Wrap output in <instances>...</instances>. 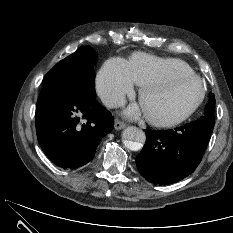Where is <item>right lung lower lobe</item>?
I'll use <instances>...</instances> for the list:
<instances>
[{
    "mask_svg": "<svg viewBox=\"0 0 233 233\" xmlns=\"http://www.w3.org/2000/svg\"><path fill=\"white\" fill-rule=\"evenodd\" d=\"M95 91L46 84L36 106L39 144L56 165L78 168L95 155L99 141L111 132L113 117L95 100Z\"/></svg>",
    "mask_w": 233,
    "mask_h": 233,
    "instance_id": "right-lung-lower-lobe-1",
    "label": "right lung lower lobe"
}]
</instances>
